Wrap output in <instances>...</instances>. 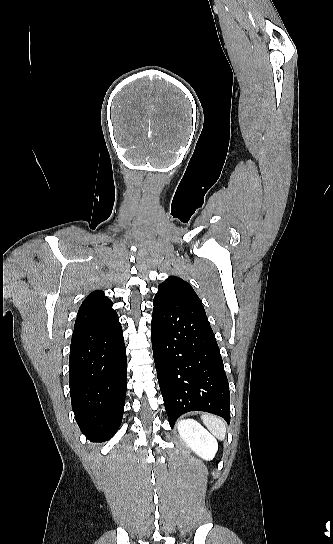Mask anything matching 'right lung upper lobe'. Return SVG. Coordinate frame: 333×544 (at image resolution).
<instances>
[{
  "mask_svg": "<svg viewBox=\"0 0 333 544\" xmlns=\"http://www.w3.org/2000/svg\"><path fill=\"white\" fill-rule=\"evenodd\" d=\"M112 305V301L105 296L102 290L92 292L82 302L74 327L116 313L112 309Z\"/></svg>",
  "mask_w": 333,
  "mask_h": 544,
  "instance_id": "obj_1",
  "label": "right lung upper lobe"
}]
</instances>
